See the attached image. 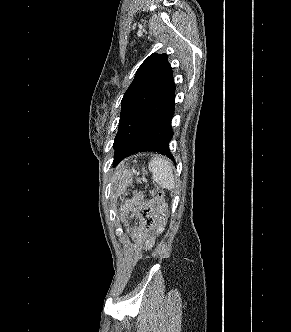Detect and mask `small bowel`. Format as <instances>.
Instances as JSON below:
<instances>
[{
	"mask_svg": "<svg viewBox=\"0 0 291 332\" xmlns=\"http://www.w3.org/2000/svg\"><path fill=\"white\" fill-rule=\"evenodd\" d=\"M154 236V230L138 227L133 231V237L137 241H143L146 244H151Z\"/></svg>",
	"mask_w": 291,
	"mask_h": 332,
	"instance_id": "obj_1",
	"label": "small bowel"
}]
</instances>
